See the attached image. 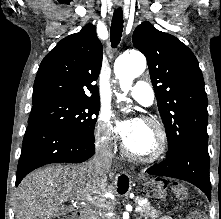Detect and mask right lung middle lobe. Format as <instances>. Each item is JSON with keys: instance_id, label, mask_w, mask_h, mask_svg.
I'll return each instance as SVG.
<instances>
[{"instance_id": "dd1d6c3e", "label": "right lung middle lobe", "mask_w": 221, "mask_h": 219, "mask_svg": "<svg viewBox=\"0 0 221 219\" xmlns=\"http://www.w3.org/2000/svg\"><path fill=\"white\" fill-rule=\"evenodd\" d=\"M99 109V101L45 99L33 103L28 123H44L94 142Z\"/></svg>"}]
</instances>
